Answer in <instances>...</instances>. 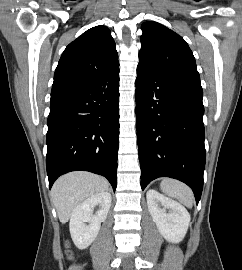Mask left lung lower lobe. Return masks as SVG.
<instances>
[{
	"mask_svg": "<svg viewBox=\"0 0 242 270\" xmlns=\"http://www.w3.org/2000/svg\"><path fill=\"white\" fill-rule=\"evenodd\" d=\"M201 88L138 65L136 127L142 190L155 178L178 179L198 204L205 168Z\"/></svg>",
	"mask_w": 242,
	"mask_h": 270,
	"instance_id": "1",
	"label": "left lung lower lobe"
}]
</instances>
